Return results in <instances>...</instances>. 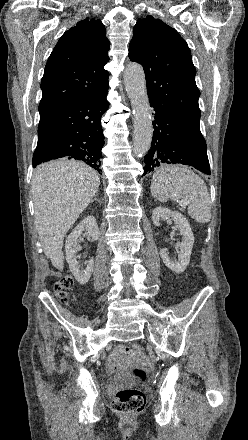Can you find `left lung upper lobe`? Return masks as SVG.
I'll list each match as a JSON object with an SVG mask.
<instances>
[{"mask_svg": "<svg viewBox=\"0 0 248 440\" xmlns=\"http://www.w3.org/2000/svg\"><path fill=\"white\" fill-rule=\"evenodd\" d=\"M129 58L144 67L149 101L200 128V92L190 49L177 31L147 16L134 26Z\"/></svg>", "mask_w": 248, "mask_h": 440, "instance_id": "obj_1", "label": "left lung upper lobe"}]
</instances>
